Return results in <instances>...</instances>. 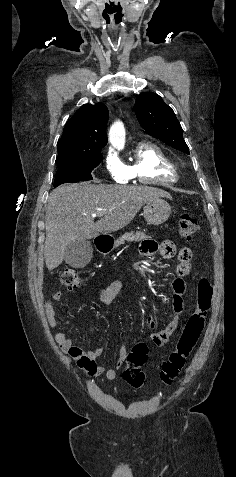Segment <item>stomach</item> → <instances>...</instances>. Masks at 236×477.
Segmentation results:
<instances>
[{"instance_id": "obj_1", "label": "stomach", "mask_w": 236, "mask_h": 477, "mask_svg": "<svg viewBox=\"0 0 236 477\" xmlns=\"http://www.w3.org/2000/svg\"><path fill=\"white\" fill-rule=\"evenodd\" d=\"M144 219L150 225H160L164 223L171 214V206L165 200L157 198L149 201L144 207ZM116 242V241H115ZM110 240L107 250H102V253H108L116 246V243Z\"/></svg>"}]
</instances>
